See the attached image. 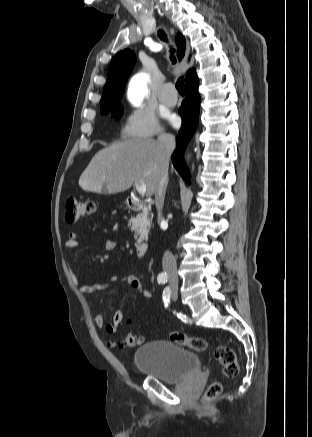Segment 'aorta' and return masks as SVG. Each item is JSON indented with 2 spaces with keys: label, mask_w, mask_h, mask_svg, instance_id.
<instances>
[{
  "label": "aorta",
  "mask_w": 312,
  "mask_h": 437,
  "mask_svg": "<svg viewBox=\"0 0 312 437\" xmlns=\"http://www.w3.org/2000/svg\"><path fill=\"white\" fill-rule=\"evenodd\" d=\"M148 80L149 77L145 73H139L132 78L129 84L128 98L134 105H139L148 93Z\"/></svg>",
  "instance_id": "obj_1"
}]
</instances>
